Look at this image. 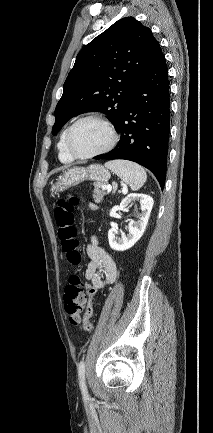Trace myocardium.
<instances>
[{
	"label": "myocardium",
	"instance_id": "obj_1",
	"mask_svg": "<svg viewBox=\"0 0 213 433\" xmlns=\"http://www.w3.org/2000/svg\"><path fill=\"white\" fill-rule=\"evenodd\" d=\"M86 120H95L98 121L99 123H101L102 125H104L106 127V129L108 130L109 133V142L107 143V145L105 147H103L102 149L91 153V154H87V155H80L78 153H76L72 147V143H71V138H72V133L74 131V129L83 121ZM66 148L67 151L69 152V154L75 158V159H80V160H86V159H91L100 155H103L107 152H109L111 149L114 148V146L117 144L118 142V134L116 129L114 128V126L112 125V123L107 120L104 116L100 115V114H96V113H90L87 115H84L80 118H78L75 122H73L70 127L67 130L66 133Z\"/></svg>",
	"mask_w": 213,
	"mask_h": 433
}]
</instances>
